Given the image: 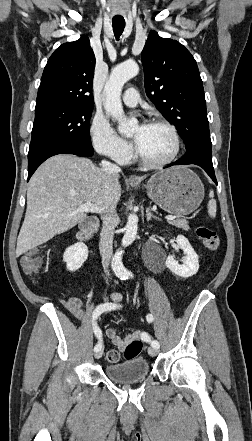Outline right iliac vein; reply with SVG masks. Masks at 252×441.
I'll return each mask as SVG.
<instances>
[{
	"label": "right iliac vein",
	"instance_id": "obj_1",
	"mask_svg": "<svg viewBox=\"0 0 252 441\" xmlns=\"http://www.w3.org/2000/svg\"><path fill=\"white\" fill-rule=\"evenodd\" d=\"M102 354H103V350L101 349V350L96 351L94 356L96 359H99L102 356Z\"/></svg>",
	"mask_w": 252,
	"mask_h": 441
}]
</instances>
